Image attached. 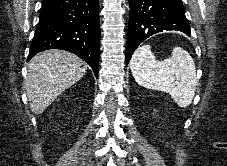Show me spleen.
Segmentation results:
<instances>
[{
  "label": "spleen",
  "instance_id": "3e777b00",
  "mask_svg": "<svg viewBox=\"0 0 227 166\" xmlns=\"http://www.w3.org/2000/svg\"><path fill=\"white\" fill-rule=\"evenodd\" d=\"M130 69L139 85L169 93L179 107L186 108L192 103L197 84L196 68L184 49L174 47L170 57L158 61L150 45L139 46L131 58Z\"/></svg>",
  "mask_w": 227,
  "mask_h": 166
}]
</instances>
